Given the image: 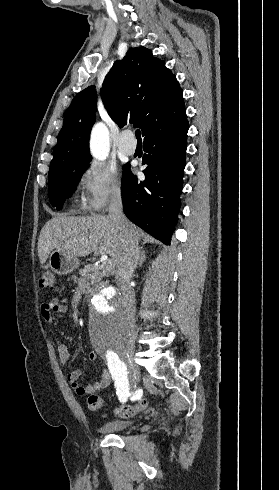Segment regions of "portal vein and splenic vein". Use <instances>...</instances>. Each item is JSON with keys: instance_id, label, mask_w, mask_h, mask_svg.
Instances as JSON below:
<instances>
[{"instance_id": "18ae733b", "label": "portal vein and splenic vein", "mask_w": 279, "mask_h": 490, "mask_svg": "<svg viewBox=\"0 0 279 490\" xmlns=\"http://www.w3.org/2000/svg\"><path fill=\"white\" fill-rule=\"evenodd\" d=\"M106 262H102V266H106V264H108V266H110V268H113L114 264L112 262V260H108L107 256L105 258Z\"/></svg>"}]
</instances>
